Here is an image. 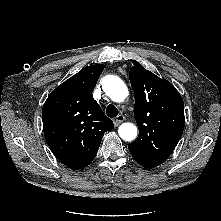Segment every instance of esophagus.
Masks as SVG:
<instances>
[{
    "instance_id": "obj_1",
    "label": "esophagus",
    "mask_w": 221,
    "mask_h": 221,
    "mask_svg": "<svg viewBox=\"0 0 221 221\" xmlns=\"http://www.w3.org/2000/svg\"><path fill=\"white\" fill-rule=\"evenodd\" d=\"M125 120L124 115L120 114L117 117L114 118L113 122L115 126L120 125Z\"/></svg>"
}]
</instances>
